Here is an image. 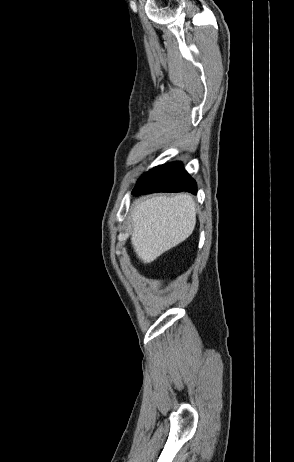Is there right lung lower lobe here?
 <instances>
[{
  "label": "right lung lower lobe",
  "instance_id": "obj_1",
  "mask_svg": "<svg viewBox=\"0 0 294 462\" xmlns=\"http://www.w3.org/2000/svg\"><path fill=\"white\" fill-rule=\"evenodd\" d=\"M196 194L195 181L184 170L180 162L157 166L145 173L137 182L133 195L139 196L153 192H181Z\"/></svg>",
  "mask_w": 294,
  "mask_h": 462
}]
</instances>
